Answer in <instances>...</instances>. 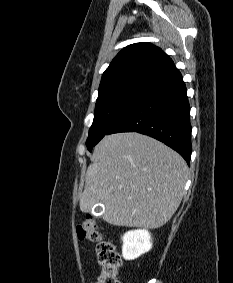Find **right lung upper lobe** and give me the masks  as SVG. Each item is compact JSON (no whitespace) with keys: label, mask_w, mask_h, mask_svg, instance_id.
Wrapping results in <instances>:
<instances>
[{"label":"right lung upper lobe","mask_w":233,"mask_h":283,"mask_svg":"<svg viewBox=\"0 0 233 283\" xmlns=\"http://www.w3.org/2000/svg\"><path fill=\"white\" fill-rule=\"evenodd\" d=\"M175 68L172 59L150 43L125 47L112 60L102 75L99 90L130 80L152 81Z\"/></svg>","instance_id":"right-lung-upper-lobe-1"}]
</instances>
